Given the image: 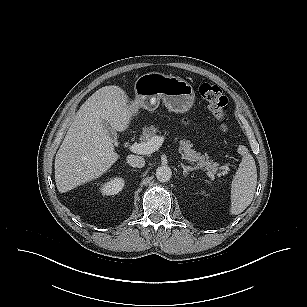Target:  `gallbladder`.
Here are the masks:
<instances>
[{
  "mask_svg": "<svg viewBox=\"0 0 307 307\" xmlns=\"http://www.w3.org/2000/svg\"><path fill=\"white\" fill-rule=\"evenodd\" d=\"M103 125L108 130L112 141L116 143L117 142V135H116L115 130L106 121L103 122Z\"/></svg>",
  "mask_w": 307,
  "mask_h": 307,
  "instance_id": "bac80fb5",
  "label": "gallbladder"
}]
</instances>
